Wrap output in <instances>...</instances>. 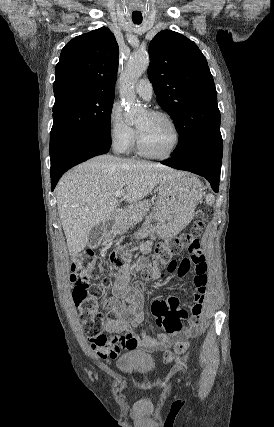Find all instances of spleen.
Here are the masks:
<instances>
[{
	"instance_id": "spleen-1",
	"label": "spleen",
	"mask_w": 274,
	"mask_h": 427,
	"mask_svg": "<svg viewBox=\"0 0 274 427\" xmlns=\"http://www.w3.org/2000/svg\"><path fill=\"white\" fill-rule=\"evenodd\" d=\"M191 186H193V188H199V190H201V184L199 182V180H197V178H195V180H193V182H190ZM200 196V194H199ZM206 202L207 204H209V206H212V204H214V196H212V194H208V196H206Z\"/></svg>"
}]
</instances>
